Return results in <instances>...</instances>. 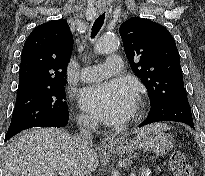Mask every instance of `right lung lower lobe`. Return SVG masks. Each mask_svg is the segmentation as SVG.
I'll use <instances>...</instances> for the list:
<instances>
[{"label": "right lung lower lobe", "instance_id": "98d812e1", "mask_svg": "<svg viewBox=\"0 0 205 176\" xmlns=\"http://www.w3.org/2000/svg\"><path fill=\"white\" fill-rule=\"evenodd\" d=\"M69 122V117L62 120V121H49V122H45V123H42V124H39L38 126L36 127H65Z\"/></svg>", "mask_w": 205, "mask_h": 176}]
</instances>
